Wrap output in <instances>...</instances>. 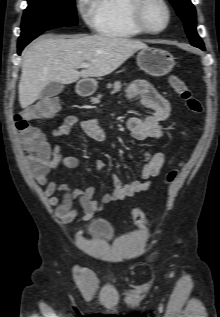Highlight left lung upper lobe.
<instances>
[{"label": "left lung upper lobe", "mask_w": 220, "mask_h": 317, "mask_svg": "<svg viewBox=\"0 0 220 317\" xmlns=\"http://www.w3.org/2000/svg\"><path fill=\"white\" fill-rule=\"evenodd\" d=\"M184 22L186 33L195 47H204L196 32V11L190 0H169Z\"/></svg>", "instance_id": "5c2ea615"}]
</instances>
